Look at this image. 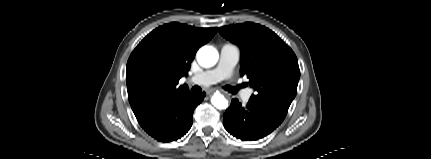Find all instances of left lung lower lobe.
I'll use <instances>...</instances> for the list:
<instances>
[{"label": "left lung lower lobe", "instance_id": "left-lung-lower-lobe-1", "mask_svg": "<svg viewBox=\"0 0 431 159\" xmlns=\"http://www.w3.org/2000/svg\"><path fill=\"white\" fill-rule=\"evenodd\" d=\"M287 112L274 106L249 100L242 106L233 99L223 115L225 129L243 141H254L265 137L284 120Z\"/></svg>", "mask_w": 431, "mask_h": 159}]
</instances>
